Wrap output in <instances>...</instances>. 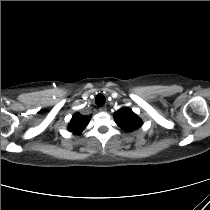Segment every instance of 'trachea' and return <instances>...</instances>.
<instances>
[{"label": "trachea", "instance_id": "1", "mask_svg": "<svg viewBox=\"0 0 210 210\" xmlns=\"http://www.w3.org/2000/svg\"><path fill=\"white\" fill-rule=\"evenodd\" d=\"M105 102H106V98H105L104 95L99 94V95L96 96L95 103H96L97 106L101 107L105 104Z\"/></svg>", "mask_w": 210, "mask_h": 210}]
</instances>
